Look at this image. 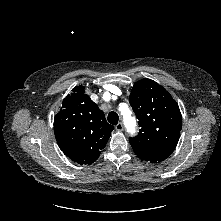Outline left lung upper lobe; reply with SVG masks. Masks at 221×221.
Returning a JSON list of instances; mask_svg holds the SVG:
<instances>
[{
	"mask_svg": "<svg viewBox=\"0 0 221 221\" xmlns=\"http://www.w3.org/2000/svg\"><path fill=\"white\" fill-rule=\"evenodd\" d=\"M129 102L140 127L138 135L129 139L135 154L152 163L163 161L179 141L182 116L178 104L150 79L134 84Z\"/></svg>",
	"mask_w": 221,
	"mask_h": 221,
	"instance_id": "obj_1",
	"label": "left lung upper lobe"
}]
</instances>
